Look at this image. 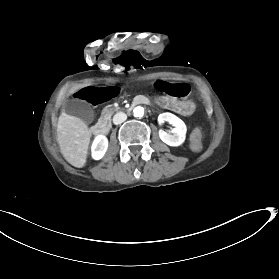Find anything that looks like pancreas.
Here are the masks:
<instances>
[{
    "label": "pancreas",
    "instance_id": "pancreas-1",
    "mask_svg": "<svg viewBox=\"0 0 279 279\" xmlns=\"http://www.w3.org/2000/svg\"><path fill=\"white\" fill-rule=\"evenodd\" d=\"M117 111H118V107H115V106H112V105H108V106L103 108L99 120L103 119V120L107 121Z\"/></svg>",
    "mask_w": 279,
    "mask_h": 279
}]
</instances>
